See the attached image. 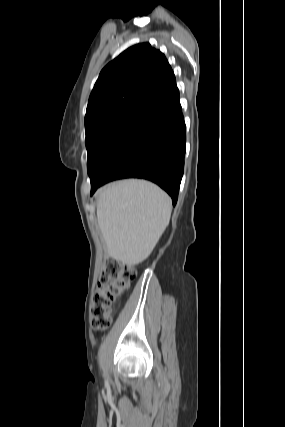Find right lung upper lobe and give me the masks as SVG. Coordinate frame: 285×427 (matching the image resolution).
<instances>
[{"label":"right lung upper lobe","mask_w":285,"mask_h":427,"mask_svg":"<svg viewBox=\"0 0 285 427\" xmlns=\"http://www.w3.org/2000/svg\"><path fill=\"white\" fill-rule=\"evenodd\" d=\"M175 85L163 53L149 43L134 45L101 71L89 98L85 125L118 110H144Z\"/></svg>","instance_id":"cb5924a9"}]
</instances>
